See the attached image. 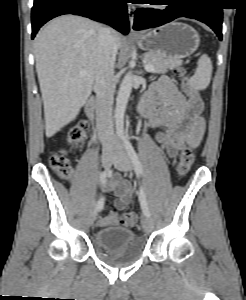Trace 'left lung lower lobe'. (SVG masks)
Returning <instances> with one entry per match:
<instances>
[{"instance_id":"obj_1","label":"left lung lower lobe","mask_w":246,"mask_h":300,"mask_svg":"<svg viewBox=\"0 0 246 300\" xmlns=\"http://www.w3.org/2000/svg\"><path fill=\"white\" fill-rule=\"evenodd\" d=\"M165 10L138 9L135 12V30L153 28L168 23L178 17L199 20L210 26L222 39L223 12L219 0H170Z\"/></svg>"}]
</instances>
